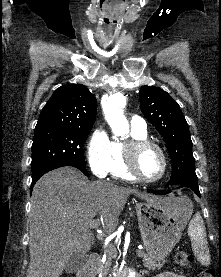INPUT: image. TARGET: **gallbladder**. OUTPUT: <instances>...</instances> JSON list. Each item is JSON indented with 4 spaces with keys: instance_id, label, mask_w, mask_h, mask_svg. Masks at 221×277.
Masks as SVG:
<instances>
[{
    "instance_id": "obj_1",
    "label": "gallbladder",
    "mask_w": 221,
    "mask_h": 277,
    "mask_svg": "<svg viewBox=\"0 0 221 277\" xmlns=\"http://www.w3.org/2000/svg\"><path fill=\"white\" fill-rule=\"evenodd\" d=\"M88 256L86 253H74L70 260L66 263L64 271L66 273H75L79 271L87 262Z\"/></svg>"
}]
</instances>
